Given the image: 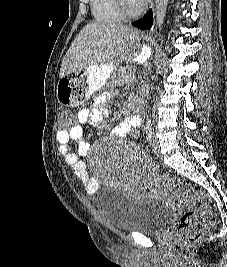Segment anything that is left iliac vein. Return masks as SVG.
<instances>
[{
  "label": "left iliac vein",
  "instance_id": "left-iliac-vein-1",
  "mask_svg": "<svg viewBox=\"0 0 227 267\" xmlns=\"http://www.w3.org/2000/svg\"><path fill=\"white\" fill-rule=\"evenodd\" d=\"M152 151L155 156H160L159 142L157 139H152Z\"/></svg>",
  "mask_w": 227,
  "mask_h": 267
}]
</instances>
